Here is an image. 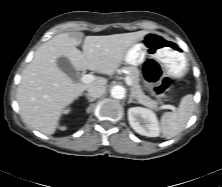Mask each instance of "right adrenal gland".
<instances>
[{"mask_svg": "<svg viewBox=\"0 0 222 187\" xmlns=\"http://www.w3.org/2000/svg\"><path fill=\"white\" fill-rule=\"evenodd\" d=\"M84 96L88 99L89 102L95 101V98H91L88 94H84Z\"/></svg>", "mask_w": 222, "mask_h": 187, "instance_id": "2a0ac1e0", "label": "right adrenal gland"}]
</instances>
